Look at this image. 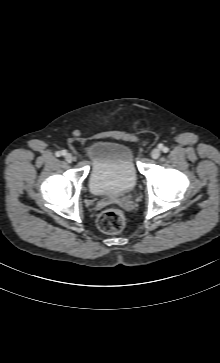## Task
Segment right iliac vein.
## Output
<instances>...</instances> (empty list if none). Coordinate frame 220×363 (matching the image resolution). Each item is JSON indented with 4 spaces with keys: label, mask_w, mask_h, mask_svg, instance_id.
I'll return each mask as SVG.
<instances>
[{
    "label": "right iliac vein",
    "mask_w": 220,
    "mask_h": 363,
    "mask_svg": "<svg viewBox=\"0 0 220 363\" xmlns=\"http://www.w3.org/2000/svg\"><path fill=\"white\" fill-rule=\"evenodd\" d=\"M64 158H65V161H66L67 163H71V162L73 161V156H72V154H70V153H66V154L64 155Z\"/></svg>",
    "instance_id": "1"
}]
</instances>
